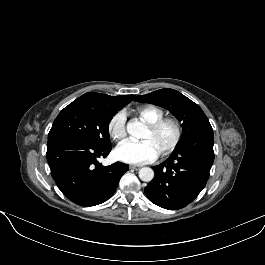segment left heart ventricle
Here are the masks:
<instances>
[{
  "mask_svg": "<svg viewBox=\"0 0 265 265\" xmlns=\"http://www.w3.org/2000/svg\"><path fill=\"white\" fill-rule=\"evenodd\" d=\"M173 136L174 129L170 124H167L156 133H152L146 129L142 140L150 141L159 153L172 141Z\"/></svg>",
  "mask_w": 265,
  "mask_h": 265,
  "instance_id": "obj_1",
  "label": "left heart ventricle"
}]
</instances>
